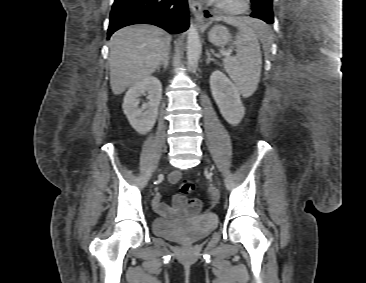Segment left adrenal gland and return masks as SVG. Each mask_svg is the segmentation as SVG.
Segmentation results:
<instances>
[{"instance_id":"1","label":"left adrenal gland","mask_w":366,"mask_h":283,"mask_svg":"<svg viewBox=\"0 0 366 283\" xmlns=\"http://www.w3.org/2000/svg\"><path fill=\"white\" fill-rule=\"evenodd\" d=\"M206 54H207V60H206L207 65H208L211 61H215V60L211 57L210 51H206Z\"/></svg>"}]
</instances>
